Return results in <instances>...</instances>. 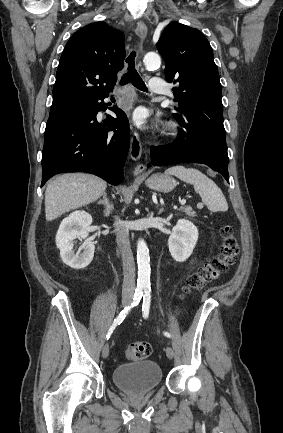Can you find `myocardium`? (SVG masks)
Returning <instances> with one entry per match:
<instances>
[{"instance_id": "1", "label": "myocardium", "mask_w": 283, "mask_h": 433, "mask_svg": "<svg viewBox=\"0 0 283 433\" xmlns=\"http://www.w3.org/2000/svg\"><path fill=\"white\" fill-rule=\"evenodd\" d=\"M168 127H169L170 130L176 132L178 130V128H179V124L176 121H170L168 123Z\"/></svg>"}]
</instances>
